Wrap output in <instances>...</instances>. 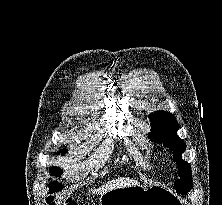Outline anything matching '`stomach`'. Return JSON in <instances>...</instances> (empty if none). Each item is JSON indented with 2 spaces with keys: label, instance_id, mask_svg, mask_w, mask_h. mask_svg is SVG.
Segmentation results:
<instances>
[{
  "label": "stomach",
  "instance_id": "1",
  "mask_svg": "<svg viewBox=\"0 0 222 205\" xmlns=\"http://www.w3.org/2000/svg\"><path fill=\"white\" fill-rule=\"evenodd\" d=\"M100 205H186V202L162 185L135 184L101 194Z\"/></svg>",
  "mask_w": 222,
  "mask_h": 205
}]
</instances>
